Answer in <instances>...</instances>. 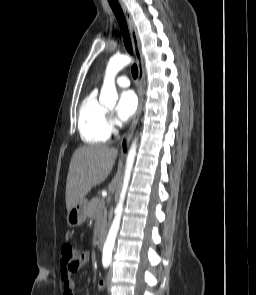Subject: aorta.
<instances>
[{
  "label": "aorta",
  "mask_w": 256,
  "mask_h": 295,
  "mask_svg": "<svg viewBox=\"0 0 256 295\" xmlns=\"http://www.w3.org/2000/svg\"><path fill=\"white\" fill-rule=\"evenodd\" d=\"M131 62V58L127 55H118L112 57L107 65L103 86L99 101L105 106H115L118 100V94L115 85V77L117 73ZM136 142H133L126 160V168L123 180V186L119 198V202L115 209V217L113 219L111 228L103 246L102 259L104 262L110 263L112 260V251L115 245L116 236L120 227V220L123 212V204L125 195L130 181L131 171L133 168L136 156Z\"/></svg>",
  "instance_id": "1"
}]
</instances>
